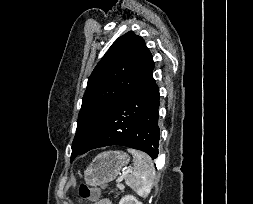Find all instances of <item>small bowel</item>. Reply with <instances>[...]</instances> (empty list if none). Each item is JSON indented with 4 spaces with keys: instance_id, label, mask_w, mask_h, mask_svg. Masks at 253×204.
Wrapping results in <instances>:
<instances>
[{
    "instance_id": "c3829d8e",
    "label": "small bowel",
    "mask_w": 253,
    "mask_h": 204,
    "mask_svg": "<svg viewBox=\"0 0 253 204\" xmlns=\"http://www.w3.org/2000/svg\"><path fill=\"white\" fill-rule=\"evenodd\" d=\"M95 204H112V202L108 199L98 200Z\"/></svg>"
}]
</instances>
